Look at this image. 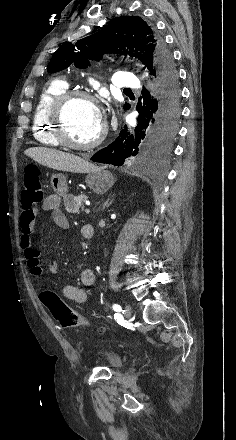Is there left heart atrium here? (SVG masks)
Returning <instances> with one entry per match:
<instances>
[{
	"label": "left heart atrium",
	"instance_id": "left-heart-atrium-1",
	"mask_svg": "<svg viewBox=\"0 0 236 440\" xmlns=\"http://www.w3.org/2000/svg\"><path fill=\"white\" fill-rule=\"evenodd\" d=\"M98 116H99L101 123H103V114L101 111H98Z\"/></svg>",
	"mask_w": 236,
	"mask_h": 440
}]
</instances>
